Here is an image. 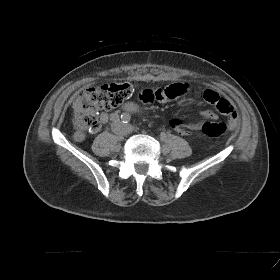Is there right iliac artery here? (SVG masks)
<instances>
[{"label":"right iliac artery","instance_id":"82829eb1","mask_svg":"<svg viewBox=\"0 0 280 280\" xmlns=\"http://www.w3.org/2000/svg\"><path fill=\"white\" fill-rule=\"evenodd\" d=\"M120 119V115L118 113H113L110 115V120L117 122Z\"/></svg>","mask_w":280,"mask_h":280}]
</instances>
